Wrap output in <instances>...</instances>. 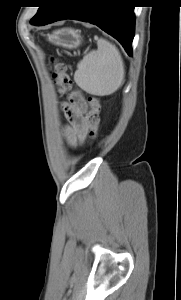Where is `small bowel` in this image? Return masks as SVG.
<instances>
[{
  "label": "small bowel",
  "mask_w": 181,
  "mask_h": 300,
  "mask_svg": "<svg viewBox=\"0 0 181 300\" xmlns=\"http://www.w3.org/2000/svg\"><path fill=\"white\" fill-rule=\"evenodd\" d=\"M85 109V104H83L80 108L74 109L73 115L69 117L70 126L66 128L65 136L68 143L72 147H76L84 140L86 136L87 124L83 116V112L85 111Z\"/></svg>",
  "instance_id": "c3829d8e"
}]
</instances>
